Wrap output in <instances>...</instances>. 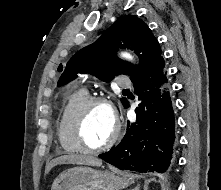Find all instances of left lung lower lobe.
I'll use <instances>...</instances> for the list:
<instances>
[{"label":"left lung lower lobe","mask_w":221,"mask_h":190,"mask_svg":"<svg viewBox=\"0 0 221 190\" xmlns=\"http://www.w3.org/2000/svg\"><path fill=\"white\" fill-rule=\"evenodd\" d=\"M161 57L134 83L141 103L136 122H128L122 141L99 157L123 170L165 173L172 168L176 143L175 116ZM128 107V103L125 108Z\"/></svg>","instance_id":"0a47b994"}]
</instances>
